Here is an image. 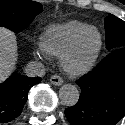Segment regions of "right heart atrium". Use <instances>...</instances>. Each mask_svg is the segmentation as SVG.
I'll use <instances>...</instances> for the list:
<instances>
[{
    "mask_svg": "<svg viewBox=\"0 0 125 125\" xmlns=\"http://www.w3.org/2000/svg\"><path fill=\"white\" fill-rule=\"evenodd\" d=\"M33 47H34V56L37 59H42V60L50 59L51 54L47 50L42 39L34 40Z\"/></svg>",
    "mask_w": 125,
    "mask_h": 125,
    "instance_id": "right-heart-atrium-1",
    "label": "right heart atrium"
}]
</instances>
